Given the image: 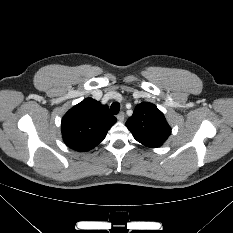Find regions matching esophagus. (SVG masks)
<instances>
[{
	"instance_id": "obj_1",
	"label": "esophagus",
	"mask_w": 233,
	"mask_h": 233,
	"mask_svg": "<svg viewBox=\"0 0 233 233\" xmlns=\"http://www.w3.org/2000/svg\"><path fill=\"white\" fill-rule=\"evenodd\" d=\"M125 118V114L124 112H120L118 115H117V119L118 121L122 122Z\"/></svg>"
}]
</instances>
